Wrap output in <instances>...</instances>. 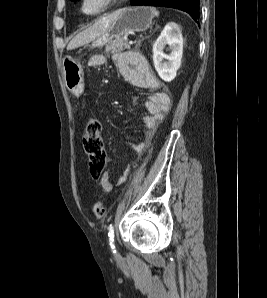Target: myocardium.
<instances>
[{
    "label": "myocardium",
    "mask_w": 267,
    "mask_h": 298,
    "mask_svg": "<svg viewBox=\"0 0 267 298\" xmlns=\"http://www.w3.org/2000/svg\"><path fill=\"white\" fill-rule=\"evenodd\" d=\"M87 1L88 0H81L82 13H84L85 15H88V16H98V15L106 12L108 9H110L114 4H116L120 0H104L103 5L98 10H96L94 12H88L86 10L85 6H86Z\"/></svg>",
    "instance_id": "1"
}]
</instances>
